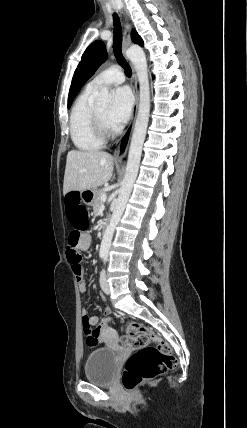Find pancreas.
<instances>
[{"mask_svg":"<svg viewBox=\"0 0 247 428\" xmlns=\"http://www.w3.org/2000/svg\"><path fill=\"white\" fill-rule=\"evenodd\" d=\"M103 194H106V193L102 189H99V190L96 191V196H95V200H94V203H93V210H94V213H96V214H98V212L100 210V207L102 205L101 196Z\"/></svg>","mask_w":247,"mask_h":428,"instance_id":"obj_1","label":"pancreas"}]
</instances>
